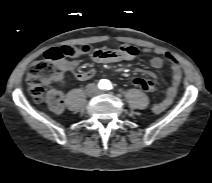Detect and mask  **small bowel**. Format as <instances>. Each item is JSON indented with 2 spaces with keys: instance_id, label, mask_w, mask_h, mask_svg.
I'll use <instances>...</instances> for the list:
<instances>
[{
  "instance_id": "obj_1",
  "label": "small bowel",
  "mask_w": 212,
  "mask_h": 183,
  "mask_svg": "<svg viewBox=\"0 0 212 183\" xmlns=\"http://www.w3.org/2000/svg\"><path fill=\"white\" fill-rule=\"evenodd\" d=\"M147 53H152L154 56L150 60V65L155 68H161L165 62H168L173 71V81L170 87L167 89V92L163 99L154 104L153 112L161 113L166 110L173 102L180 82L182 79V70L178 60L169 52L162 49H145ZM139 53L138 48L133 45H122L117 49H97L93 53V60L98 63H111V62H121V61H130L134 59ZM77 61H68L63 60L57 66V71L54 76V81L63 84L64 83V74L67 72L75 71L77 67ZM140 73L149 77L148 79L154 84L153 80L158 79V75L152 71L140 70ZM95 75V72L91 69L89 70H78L75 73L76 79L80 81H86L91 79ZM155 88V86H154ZM154 90V89H153ZM47 102L50 109L59 114L63 112L65 108L64 95L62 92L51 89L47 93Z\"/></svg>"
}]
</instances>
